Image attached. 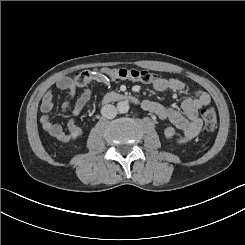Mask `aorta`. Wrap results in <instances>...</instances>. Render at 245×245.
I'll list each match as a JSON object with an SVG mask.
<instances>
[{
	"instance_id": "762f6f07",
	"label": "aorta",
	"mask_w": 245,
	"mask_h": 245,
	"mask_svg": "<svg viewBox=\"0 0 245 245\" xmlns=\"http://www.w3.org/2000/svg\"><path fill=\"white\" fill-rule=\"evenodd\" d=\"M130 109L128 101H120L117 103V110L119 113H127Z\"/></svg>"
}]
</instances>
